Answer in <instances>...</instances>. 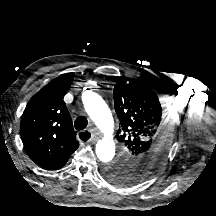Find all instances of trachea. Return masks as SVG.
Returning <instances> with one entry per match:
<instances>
[{"mask_svg": "<svg viewBox=\"0 0 216 216\" xmlns=\"http://www.w3.org/2000/svg\"><path fill=\"white\" fill-rule=\"evenodd\" d=\"M88 125V120L85 116H79L76 118L75 122H74V127L77 130H83L87 127ZM81 140L83 141H87L90 138V134L87 132L82 133V135L80 136Z\"/></svg>", "mask_w": 216, "mask_h": 216, "instance_id": "trachea-1", "label": "trachea"}]
</instances>
